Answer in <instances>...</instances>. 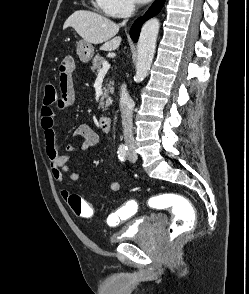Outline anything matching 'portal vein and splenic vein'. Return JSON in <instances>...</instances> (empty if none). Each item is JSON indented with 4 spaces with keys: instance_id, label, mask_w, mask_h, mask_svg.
I'll return each mask as SVG.
<instances>
[{
    "instance_id": "portal-vein-and-splenic-vein-1",
    "label": "portal vein and splenic vein",
    "mask_w": 249,
    "mask_h": 294,
    "mask_svg": "<svg viewBox=\"0 0 249 294\" xmlns=\"http://www.w3.org/2000/svg\"><path fill=\"white\" fill-rule=\"evenodd\" d=\"M110 68V64L107 61H104L102 64V68L99 71V74H104L106 73Z\"/></svg>"
}]
</instances>
